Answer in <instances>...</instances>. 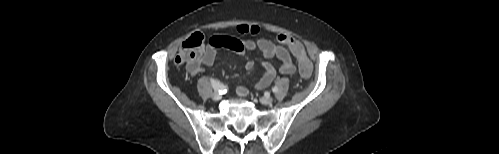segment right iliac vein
Masks as SVG:
<instances>
[{"mask_svg": "<svg viewBox=\"0 0 499 154\" xmlns=\"http://www.w3.org/2000/svg\"><path fill=\"white\" fill-rule=\"evenodd\" d=\"M211 97L214 101H219L221 99V95L218 92H214Z\"/></svg>", "mask_w": 499, "mask_h": 154, "instance_id": "1", "label": "right iliac vein"}]
</instances>
